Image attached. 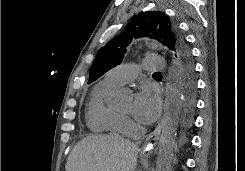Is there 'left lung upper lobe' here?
Wrapping results in <instances>:
<instances>
[{
	"label": "left lung upper lobe",
	"instance_id": "1",
	"mask_svg": "<svg viewBox=\"0 0 245 171\" xmlns=\"http://www.w3.org/2000/svg\"><path fill=\"white\" fill-rule=\"evenodd\" d=\"M149 37L167 46L176 61H192L190 51L177 25L163 13L146 11L135 17L114 39L102 47L91 65L88 84L122 62L133 38Z\"/></svg>",
	"mask_w": 245,
	"mask_h": 171
}]
</instances>
